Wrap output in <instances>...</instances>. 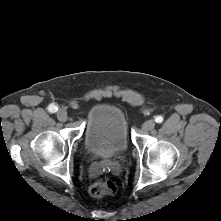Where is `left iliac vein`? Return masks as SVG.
<instances>
[{
	"instance_id": "4c4485c4",
	"label": "left iliac vein",
	"mask_w": 221,
	"mask_h": 221,
	"mask_svg": "<svg viewBox=\"0 0 221 221\" xmlns=\"http://www.w3.org/2000/svg\"><path fill=\"white\" fill-rule=\"evenodd\" d=\"M155 126V121L154 120H147L143 123L142 129L145 131L152 130Z\"/></svg>"
}]
</instances>
